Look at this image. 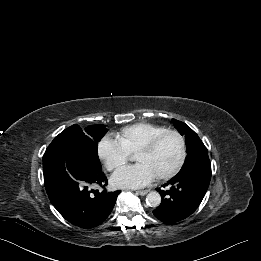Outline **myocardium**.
Returning a JSON list of instances; mask_svg holds the SVG:
<instances>
[{"mask_svg": "<svg viewBox=\"0 0 261 261\" xmlns=\"http://www.w3.org/2000/svg\"><path fill=\"white\" fill-rule=\"evenodd\" d=\"M167 135H174L178 138L179 143H180V155L178 158V161L176 162V164L174 165V167L172 169H170L169 171L157 175V178L160 180H166L169 178H172L173 176H175L183 167L185 160H186V143H185V139L184 137L176 130H170L167 129L159 134H157L156 136H154L151 140H149L145 145H143L142 147H140L136 153H149L151 151H153L156 146L158 145V143L162 140V138H164Z\"/></svg>", "mask_w": 261, "mask_h": 261, "instance_id": "1", "label": "myocardium"}]
</instances>
